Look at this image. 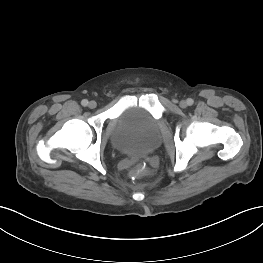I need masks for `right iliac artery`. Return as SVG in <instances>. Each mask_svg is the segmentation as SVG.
I'll return each mask as SVG.
<instances>
[{
	"label": "right iliac artery",
	"instance_id": "obj_1",
	"mask_svg": "<svg viewBox=\"0 0 263 263\" xmlns=\"http://www.w3.org/2000/svg\"><path fill=\"white\" fill-rule=\"evenodd\" d=\"M81 104H82V106H87L88 105V100L87 99H84V100H82L81 101Z\"/></svg>",
	"mask_w": 263,
	"mask_h": 263
}]
</instances>
